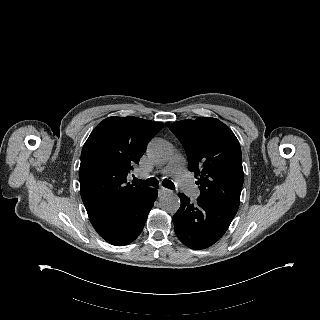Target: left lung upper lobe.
I'll list each match as a JSON object with an SVG mask.
<instances>
[{"mask_svg": "<svg viewBox=\"0 0 320 320\" xmlns=\"http://www.w3.org/2000/svg\"><path fill=\"white\" fill-rule=\"evenodd\" d=\"M170 130L182 143L189 170L200 176V198L236 214L244 181L239 141L228 126L216 118L174 122Z\"/></svg>", "mask_w": 320, "mask_h": 320, "instance_id": "5c2ea615", "label": "left lung upper lobe"}]
</instances>
